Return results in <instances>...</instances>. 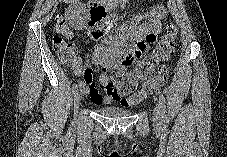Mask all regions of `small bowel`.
I'll return each instance as SVG.
<instances>
[{"instance_id":"obj_1","label":"small bowel","mask_w":227,"mask_h":157,"mask_svg":"<svg viewBox=\"0 0 227 157\" xmlns=\"http://www.w3.org/2000/svg\"><path fill=\"white\" fill-rule=\"evenodd\" d=\"M166 15L165 6L155 5L132 17L113 34L91 31V36L97 43L92 48L90 58L92 64L104 69L99 77L102 89L99 90L95 86L93 78L87 77L89 68L77 59L73 63V72L80 79L81 93L90 97L97 105L118 101L122 103L123 95L114 88L108 72L121 75L133 62H139V58H143V54L148 53L149 44L160 33ZM138 65L139 63L135 65L134 71L127 74L131 81V89L144 78L136 73Z\"/></svg>"}]
</instances>
